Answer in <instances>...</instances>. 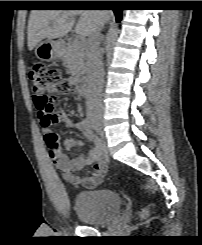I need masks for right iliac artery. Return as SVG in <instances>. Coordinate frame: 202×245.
I'll use <instances>...</instances> for the list:
<instances>
[{"mask_svg": "<svg viewBox=\"0 0 202 245\" xmlns=\"http://www.w3.org/2000/svg\"><path fill=\"white\" fill-rule=\"evenodd\" d=\"M81 123H82L83 128L87 132L92 133V131H91V121H90V119L88 117L84 118Z\"/></svg>", "mask_w": 202, "mask_h": 245, "instance_id": "1", "label": "right iliac artery"}]
</instances>
